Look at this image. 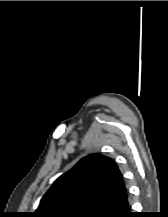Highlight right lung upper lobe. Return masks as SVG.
I'll use <instances>...</instances> for the list:
<instances>
[{"mask_svg":"<svg viewBox=\"0 0 168 217\" xmlns=\"http://www.w3.org/2000/svg\"><path fill=\"white\" fill-rule=\"evenodd\" d=\"M128 202L115 162L91 154L61 175L43 196L33 217H105Z\"/></svg>","mask_w":168,"mask_h":217,"instance_id":"cb5924a9","label":"right lung upper lobe"}]
</instances>
